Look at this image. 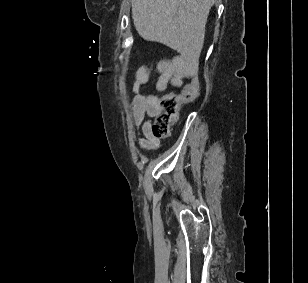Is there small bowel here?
<instances>
[{
  "label": "small bowel",
  "instance_id": "obj_1",
  "mask_svg": "<svg viewBox=\"0 0 308 283\" xmlns=\"http://www.w3.org/2000/svg\"><path fill=\"white\" fill-rule=\"evenodd\" d=\"M195 60L190 57L175 56L171 59L160 61L157 64V79L155 88L159 92L166 91L169 87H181L185 79L192 77ZM151 73L146 67L137 70L133 81L134 98L132 100V112L134 123L143 134L137 140L141 150L155 151L160 147V139L151 133V120L155 117L159 108L157 97L148 96L141 92V87L150 81Z\"/></svg>",
  "mask_w": 308,
  "mask_h": 283
}]
</instances>
